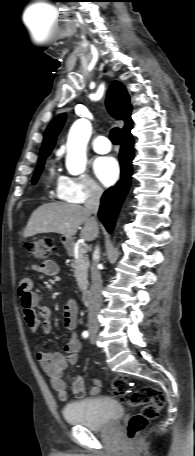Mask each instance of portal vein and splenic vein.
Masks as SVG:
<instances>
[{"label": "portal vein and splenic vein", "instance_id": "obj_1", "mask_svg": "<svg viewBox=\"0 0 195 456\" xmlns=\"http://www.w3.org/2000/svg\"><path fill=\"white\" fill-rule=\"evenodd\" d=\"M87 250H88V246H87L86 244L81 245L80 251H81L82 253H86Z\"/></svg>", "mask_w": 195, "mask_h": 456}]
</instances>
